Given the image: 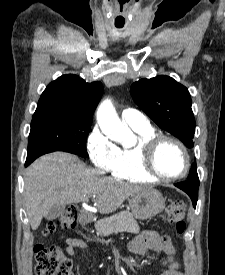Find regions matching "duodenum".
Listing matches in <instances>:
<instances>
[{"label":"duodenum","instance_id":"1","mask_svg":"<svg viewBox=\"0 0 225 275\" xmlns=\"http://www.w3.org/2000/svg\"><path fill=\"white\" fill-rule=\"evenodd\" d=\"M87 212L85 210H80L78 220L81 224H87L88 218L86 216Z\"/></svg>","mask_w":225,"mask_h":275}]
</instances>
